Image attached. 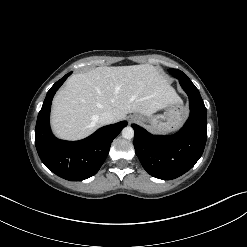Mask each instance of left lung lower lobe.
I'll list each match as a JSON object with an SVG mask.
<instances>
[{"instance_id": "1", "label": "left lung lower lobe", "mask_w": 247, "mask_h": 247, "mask_svg": "<svg viewBox=\"0 0 247 247\" xmlns=\"http://www.w3.org/2000/svg\"><path fill=\"white\" fill-rule=\"evenodd\" d=\"M188 94L190 116L183 128L171 136L152 135L136 124L135 152L153 177L171 180L190 170L201 157L207 138L206 107L198 89L184 74L176 75Z\"/></svg>"}]
</instances>
